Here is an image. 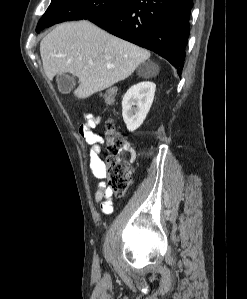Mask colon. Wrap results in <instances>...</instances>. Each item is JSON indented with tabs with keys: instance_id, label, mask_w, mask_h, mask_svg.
I'll use <instances>...</instances> for the list:
<instances>
[{
	"instance_id": "colon-1",
	"label": "colon",
	"mask_w": 247,
	"mask_h": 299,
	"mask_svg": "<svg viewBox=\"0 0 247 299\" xmlns=\"http://www.w3.org/2000/svg\"><path fill=\"white\" fill-rule=\"evenodd\" d=\"M101 96L108 107L114 104L115 91L113 89L105 90ZM105 150L102 176L114 195L123 196L132 183L134 172L132 163L135 159V151L111 121L106 123Z\"/></svg>"
}]
</instances>
